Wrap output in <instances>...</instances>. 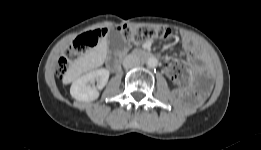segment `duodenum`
Instances as JSON below:
<instances>
[{"label":"duodenum","instance_id":"1","mask_svg":"<svg viewBox=\"0 0 261 150\" xmlns=\"http://www.w3.org/2000/svg\"><path fill=\"white\" fill-rule=\"evenodd\" d=\"M134 56L138 57V58L139 57H152L151 54H148L141 50L135 51ZM120 63H121V57L118 55H114V56L110 57L108 60V65H109L110 69H112V70H117L120 66Z\"/></svg>","mask_w":261,"mask_h":150}]
</instances>
